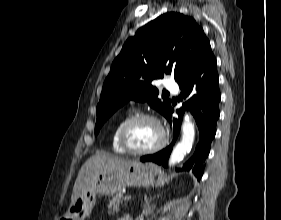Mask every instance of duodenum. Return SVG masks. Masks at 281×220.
Listing matches in <instances>:
<instances>
[{"label":"duodenum","instance_id":"obj_1","mask_svg":"<svg viewBox=\"0 0 281 220\" xmlns=\"http://www.w3.org/2000/svg\"><path fill=\"white\" fill-rule=\"evenodd\" d=\"M121 220H131V219H129V218H123V219H121Z\"/></svg>","mask_w":281,"mask_h":220}]
</instances>
